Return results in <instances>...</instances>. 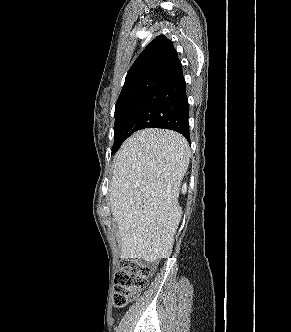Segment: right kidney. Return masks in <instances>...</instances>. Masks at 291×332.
<instances>
[{
  "mask_svg": "<svg viewBox=\"0 0 291 332\" xmlns=\"http://www.w3.org/2000/svg\"><path fill=\"white\" fill-rule=\"evenodd\" d=\"M182 192H183V193L186 192V184L183 185V187H182Z\"/></svg>",
  "mask_w": 291,
  "mask_h": 332,
  "instance_id": "ca27d5eb",
  "label": "right kidney"
}]
</instances>
